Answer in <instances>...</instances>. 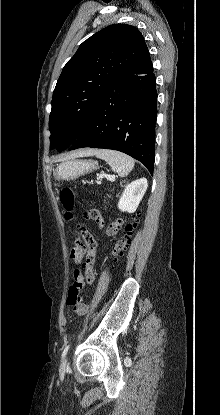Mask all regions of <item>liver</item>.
Listing matches in <instances>:
<instances>
[{
  "instance_id": "6515ba94",
  "label": "liver",
  "mask_w": 220,
  "mask_h": 415,
  "mask_svg": "<svg viewBox=\"0 0 220 415\" xmlns=\"http://www.w3.org/2000/svg\"><path fill=\"white\" fill-rule=\"evenodd\" d=\"M94 153H95V150H86V151H82V152L78 153V155L90 156V155H93Z\"/></svg>"
}]
</instances>
